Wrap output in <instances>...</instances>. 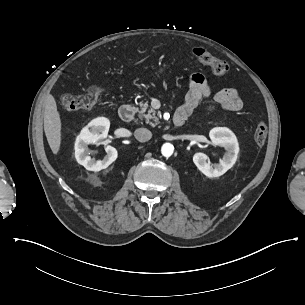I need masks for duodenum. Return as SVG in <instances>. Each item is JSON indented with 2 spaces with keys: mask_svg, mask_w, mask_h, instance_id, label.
<instances>
[{
  "mask_svg": "<svg viewBox=\"0 0 305 305\" xmlns=\"http://www.w3.org/2000/svg\"><path fill=\"white\" fill-rule=\"evenodd\" d=\"M120 118L125 121H131L135 116V108L133 105L126 103L119 109ZM186 116L182 113H176L173 117V124L176 127H181L185 123Z\"/></svg>",
  "mask_w": 305,
  "mask_h": 305,
  "instance_id": "obj_1",
  "label": "duodenum"
}]
</instances>
